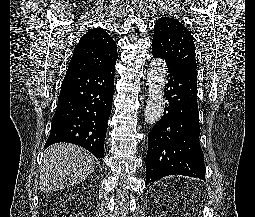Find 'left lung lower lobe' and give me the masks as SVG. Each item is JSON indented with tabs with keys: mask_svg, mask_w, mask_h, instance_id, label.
I'll return each instance as SVG.
<instances>
[{
	"mask_svg": "<svg viewBox=\"0 0 255 217\" xmlns=\"http://www.w3.org/2000/svg\"><path fill=\"white\" fill-rule=\"evenodd\" d=\"M154 58L163 59L156 51ZM167 64V63H166ZM164 115L148 135L146 185L168 175L205 180L199 135L197 76L167 64Z\"/></svg>",
	"mask_w": 255,
	"mask_h": 217,
	"instance_id": "1",
	"label": "left lung lower lobe"
}]
</instances>
